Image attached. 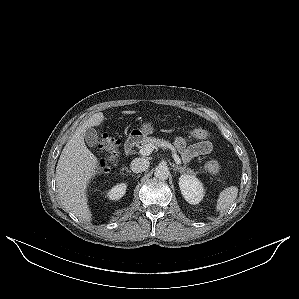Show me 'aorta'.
Instances as JSON below:
<instances>
[{"label": "aorta", "instance_id": "aorta-1", "mask_svg": "<svg viewBox=\"0 0 299 299\" xmlns=\"http://www.w3.org/2000/svg\"><path fill=\"white\" fill-rule=\"evenodd\" d=\"M169 170L166 165H158L155 168L154 176L159 180H166L169 177Z\"/></svg>", "mask_w": 299, "mask_h": 299}]
</instances>
